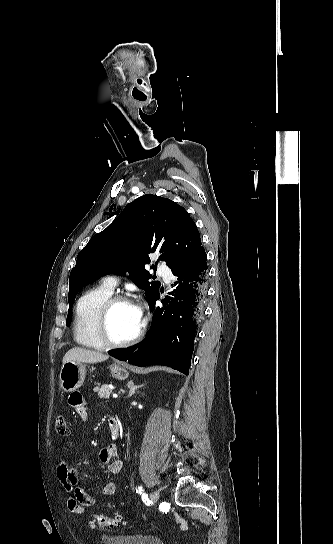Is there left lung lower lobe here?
<instances>
[{
    "instance_id": "0a47b994",
    "label": "left lung lower lobe",
    "mask_w": 333,
    "mask_h": 544,
    "mask_svg": "<svg viewBox=\"0 0 333 544\" xmlns=\"http://www.w3.org/2000/svg\"><path fill=\"white\" fill-rule=\"evenodd\" d=\"M206 259L201 245L188 262L174 269L173 297L161 300L164 307L156 309L148 335L137 345L113 349L109 355L136 366L166 365L187 375L206 295ZM159 298L160 294L149 302L152 310Z\"/></svg>"
}]
</instances>
